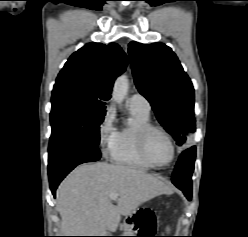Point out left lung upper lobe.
<instances>
[{"mask_svg":"<svg viewBox=\"0 0 248 237\" xmlns=\"http://www.w3.org/2000/svg\"><path fill=\"white\" fill-rule=\"evenodd\" d=\"M128 53L138 91L178 145L195 131L194 88L177 56L162 43L131 42Z\"/></svg>","mask_w":248,"mask_h":237,"instance_id":"obj_1","label":"left lung upper lobe"}]
</instances>
